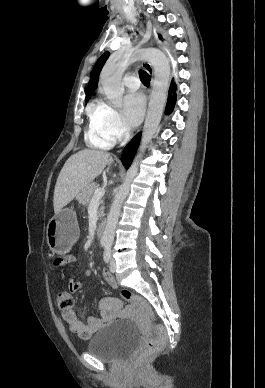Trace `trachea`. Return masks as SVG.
Here are the masks:
<instances>
[{
  "instance_id": "obj_1",
  "label": "trachea",
  "mask_w": 265,
  "mask_h": 388,
  "mask_svg": "<svg viewBox=\"0 0 265 388\" xmlns=\"http://www.w3.org/2000/svg\"><path fill=\"white\" fill-rule=\"evenodd\" d=\"M139 73H140V77H141L142 81L145 84H149L150 83V77H149L148 73H146L143 70H141Z\"/></svg>"
}]
</instances>
